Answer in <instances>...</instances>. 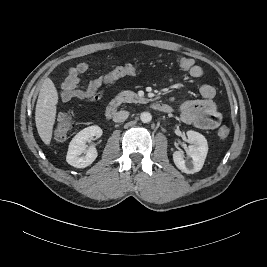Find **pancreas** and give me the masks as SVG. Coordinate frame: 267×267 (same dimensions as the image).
I'll return each mask as SVG.
<instances>
[{
  "mask_svg": "<svg viewBox=\"0 0 267 267\" xmlns=\"http://www.w3.org/2000/svg\"><path fill=\"white\" fill-rule=\"evenodd\" d=\"M141 98L132 91H121L116 97L115 101L118 103H131V102H138Z\"/></svg>",
  "mask_w": 267,
  "mask_h": 267,
  "instance_id": "obj_1",
  "label": "pancreas"
}]
</instances>
